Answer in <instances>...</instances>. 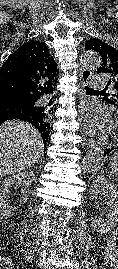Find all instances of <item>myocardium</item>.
I'll return each instance as SVG.
<instances>
[{
  "label": "myocardium",
  "mask_w": 118,
  "mask_h": 269,
  "mask_svg": "<svg viewBox=\"0 0 118 269\" xmlns=\"http://www.w3.org/2000/svg\"><path fill=\"white\" fill-rule=\"evenodd\" d=\"M112 133H113V137H117V140H118V116H116L113 119V122H112Z\"/></svg>",
  "instance_id": "f54148a6"
}]
</instances>
